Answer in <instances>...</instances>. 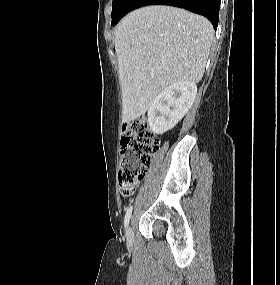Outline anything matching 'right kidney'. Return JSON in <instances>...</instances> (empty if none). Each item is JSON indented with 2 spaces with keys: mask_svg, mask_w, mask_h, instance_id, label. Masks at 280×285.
Returning <instances> with one entry per match:
<instances>
[{
  "mask_svg": "<svg viewBox=\"0 0 280 285\" xmlns=\"http://www.w3.org/2000/svg\"><path fill=\"white\" fill-rule=\"evenodd\" d=\"M197 94V85L179 81L164 88L148 108V124L154 134L172 129L188 112Z\"/></svg>",
  "mask_w": 280,
  "mask_h": 285,
  "instance_id": "ca27d5eb",
  "label": "right kidney"
}]
</instances>
